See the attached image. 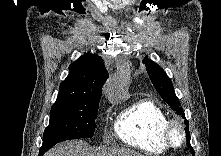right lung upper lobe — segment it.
Listing matches in <instances>:
<instances>
[{"label": "right lung upper lobe", "instance_id": "right-lung-upper-lobe-1", "mask_svg": "<svg viewBox=\"0 0 221 156\" xmlns=\"http://www.w3.org/2000/svg\"><path fill=\"white\" fill-rule=\"evenodd\" d=\"M108 72L101 57L85 53L69 66V75L61 83L56 102H74L101 97Z\"/></svg>", "mask_w": 221, "mask_h": 156}]
</instances>
